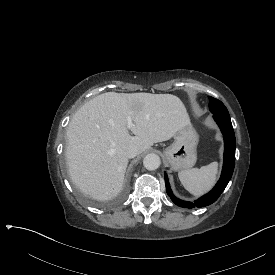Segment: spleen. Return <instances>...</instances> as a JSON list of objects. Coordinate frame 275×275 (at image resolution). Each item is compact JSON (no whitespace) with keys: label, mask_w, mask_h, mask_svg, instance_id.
<instances>
[{"label":"spleen","mask_w":275,"mask_h":275,"mask_svg":"<svg viewBox=\"0 0 275 275\" xmlns=\"http://www.w3.org/2000/svg\"><path fill=\"white\" fill-rule=\"evenodd\" d=\"M218 163L212 162L200 169L193 168L178 173L179 179L186 190L195 196L209 191L216 182Z\"/></svg>","instance_id":"3e777b00"}]
</instances>
